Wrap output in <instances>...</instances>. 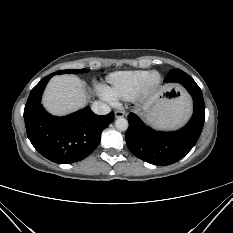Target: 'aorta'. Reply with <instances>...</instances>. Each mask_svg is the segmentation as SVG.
I'll use <instances>...</instances> for the list:
<instances>
[{"instance_id":"1","label":"aorta","mask_w":233,"mask_h":233,"mask_svg":"<svg viewBox=\"0 0 233 233\" xmlns=\"http://www.w3.org/2000/svg\"><path fill=\"white\" fill-rule=\"evenodd\" d=\"M115 126L119 131H126L128 129V121L123 117H119L115 121Z\"/></svg>"}]
</instances>
